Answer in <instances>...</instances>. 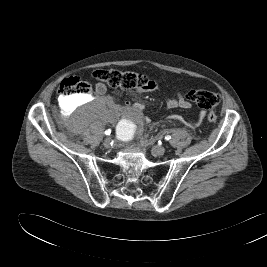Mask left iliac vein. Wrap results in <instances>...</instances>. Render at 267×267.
I'll return each instance as SVG.
<instances>
[{
	"label": "left iliac vein",
	"mask_w": 267,
	"mask_h": 267,
	"mask_svg": "<svg viewBox=\"0 0 267 267\" xmlns=\"http://www.w3.org/2000/svg\"><path fill=\"white\" fill-rule=\"evenodd\" d=\"M165 151V147L160 145H156L152 148V154L155 156H161L165 153Z\"/></svg>",
	"instance_id": "4c4485c4"
}]
</instances>
